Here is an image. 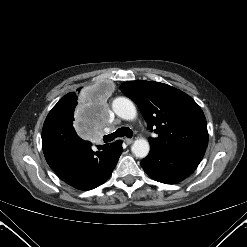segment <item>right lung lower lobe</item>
Wrapping results in <instances>:
<instances>
[{
    "instance_id": "1",
    "label": "right lung lower lobe",
    "mask_w": 247,
    "mask_h": 247,
    "mask_svg": "<svg viewBox=\"0 0 247 247\" xmlns=\"http://www.w3.org/2000/svg\"><path fill=\"white\" fill-rule=\"evenodd\" d=\"M42 148L49 166L67 184L79 190H91L112 174L123 151L122 141L101 146L94 152L91 142L81 139L73 126L45 120Z\"/></svg>"
}]
</instances>
